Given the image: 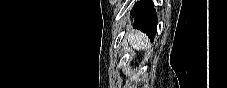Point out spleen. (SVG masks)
Returning a JSON list of instances; mask_svg holds the SVG:
<instances>
[{"label": "spleen", "instance_id": "3e777b00", "mask_svg": "<svg viewBox=\"0 0 227 88\" xmlns=\"http://www.w3.org/2000/svg\"><path fill=\"white\" fill-rule=\"evenodd\" d=\"M127 41L133 49L138 51L141 49H146L150 45L149 39L137 31H130L127 34Z\"/></svg>", "mask_w": 227, "mask_h": 88}]
</instances>
